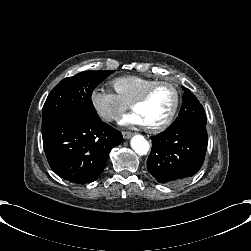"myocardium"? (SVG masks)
I'll use <instances>...</instances> for the list:
<instances>
[{"label": "myocardium", "mask_w": 251, "mask_h": 251, "mask_svg": "<svg viewBox=\"0 0 251 251\" xmlns=\"http://www.w3.org/2000/svg\"><path fill=\"white\" fill-rule=\"evenodd\" d=\"M163 84H168L174 88L175 95H176L175 104L173 106V109L171 110V112L169 113V115L164 121L155 125H146V128L149 131H154V132L162 131L171 125L181 105L182 91H181L180 86L176 82H173L170 80H155L153 83L147 86L146 89L142 92V94L131 104L132 108L135 109L136 106L145 103L150 98L153 91L158 86L163 85Z\"/></svg>", "instance_id": "1"}]
</instances>
